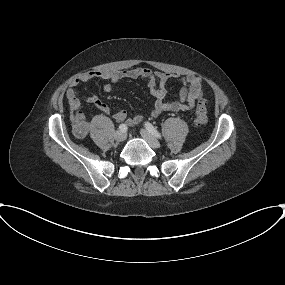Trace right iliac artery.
Here are the masks:
<instances>
[{"instance_id": "right-iliac-artery-1", "label": "right iliac artery", "mask_w": 285, "mask_h": 285, "mask_svg": "<svg viewBox=\"0 0 285 285\" xmlns=\"http://www.w3.org/2000/svg\"><path fill=\"white\" fill-rule=\"evenodd\" d=\"M119 130L122 132H126L127 131V126L125 124H120L119 125Z\"/></svg>"}]
</instances>
